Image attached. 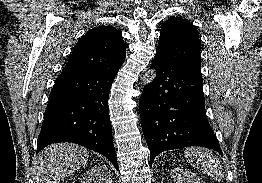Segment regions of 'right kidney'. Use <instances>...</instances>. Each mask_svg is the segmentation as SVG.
Returning <instances> with one entry per match:
<instances>
[{
    "mask_svg": "<svg viewBox=\"0 0 262 183\" xmlns=\"http://www.w3.org/2000/svg\"><path fill=\"white\" fill-rule=\"evenodd\" d=\"M81 183H112L110 171L104 165L95 166L84 173Z\"/></svg>",
    "mask_w": 262,
    "mask_h": 183,
    "instance_id": "1",
    "label": "right kidney"
}]
</instances>
